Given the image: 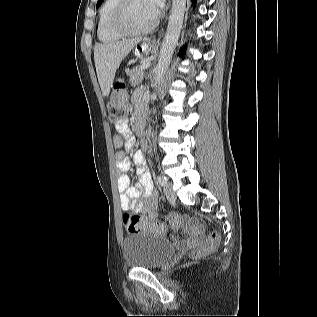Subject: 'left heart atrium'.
<instances>
[{"label":"left heart atrium","mask_w":317,"mask_h":317,"mask_svg":"<svg viewBox=\"0 0 317 317\" xmlns=\"http://www.w3.org/2000/svg\"><path fill=\"white\" fill-rule=\"evenodd\" d=\"M152 8L156 12V14H159L160 9L162 8L164 4V0H149Z\"/></svg>","instance_id":"39dd6f15"}]
</instances>
